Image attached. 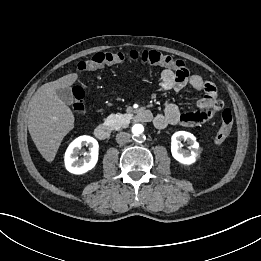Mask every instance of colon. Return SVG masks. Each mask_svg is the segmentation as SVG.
I'll return each mask as SVG.
<instances>
[{"label":"colon","instance_id":"5ec220e1","mask_svg":"<svg viewBox=\"0 0 261 261\" xmlns=\"http://www.w3.org/2000/svg\"><path fill=\"white\" fill-rule=\"evenodd\" d=\"M140 61L148 65H160L180 71L185 69L184 63L170 55L163 54L156 50L130 51V52H97L88 59L80 62L78 68L84 72L95 71L105 65L120 64L125 61ZM74 110L78 113L83 111L84 91L77 86L73 89ZM233 125V114L230 109H225L221 115V126L215 135L216 145L223 144L228 138Z\"/></svg>","mask_w":261,"mask_h":261}]
</instances>
